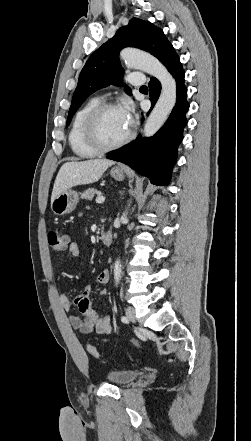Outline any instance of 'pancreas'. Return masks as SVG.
<instances>
[{
	"mask_svg": "<svg viewBox=\"0 0 251 441\" xmlns=\"http://www.w3.org/2000/svg\"><path fill=\"white\" fill-rule=\"evenodd\" d=\"M100 193L97 189L95 188H88L87 190H85L82 194H81V198L82 199H87V200H92L95 194Z\"/></svg>",
	"mask_w": 251,
	"mask_h": 441,
	"instance_id": "1",
	"label": "pancreas"
}]
</instances>
